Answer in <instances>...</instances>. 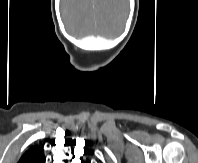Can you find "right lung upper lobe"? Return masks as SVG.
<instances>
[{
    "mask_svg": "<svg viewBox=\"0 0 198 163\" xmlns=\"http://www.w3.org/2000/svg\"><path fill=\"white\" fill-rule=\"evenodd\" d=\"M18 163H45L43 148L32 146L22 155Z\"/></svg>",
    "mask_w": 198,
    "mask_h": 163,
    "instance_id": "cb5924a9",
    "label": "right lung upper lobe"
}]
</instances>
